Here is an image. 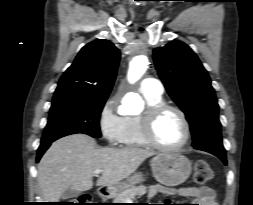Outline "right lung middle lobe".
Instances as JSON below:
<instances>
[{
	"mask_svg": "<svg viewBox=\"0 0 253 205\" xmlns=\"http://www.w3.org/2000/svg\"><path fill=\"white\" fill-rule=\"evenodd\" d=\"M106 99L67 98L53 101L41 143L75 133L100 138L99 118Z\"/></svg>",
	"mask_w": 253,
	"mask_h": 205,
	"instance_id": "right-lung-middle-lobe-1",
	"label": "right lung middle lobe"
}]
</instances>
